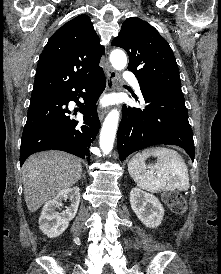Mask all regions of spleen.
I'll list each match as a JSON object with an SVG mask.
<instances>
[{"label":"spleen","mask_w":221,"mask_h":274,"mask_svg":"<svg viewBox=\"0 0 221 274\" xmlns=\"http://www.w3.org/2000/svg\"><path fill=\"white\" fill-rule=\"evenodd\" d=\"M150 156L157 157V161L146 165L145 160ZM128 171L138 187L151 193L187 191L190 186L185 161L175 150L164 147H152L135 154L128 163Z\"/></svg>","instance_id":"spleen-1"}]
</instances>
